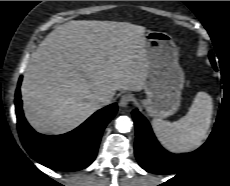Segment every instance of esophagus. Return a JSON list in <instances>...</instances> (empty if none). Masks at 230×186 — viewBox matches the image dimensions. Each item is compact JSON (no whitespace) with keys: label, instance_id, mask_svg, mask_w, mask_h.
Masks as SVG:
<instances>
[{"label":"esophagus","instance_id":"esophagus-1","mask_svg":"<svg viewBox=\"0 0 230 186\" xmlns=\"http://www.w3.org/2000/svg\"><path fill=\"white\" fill-rule=\"evenodd\" d=\"M131 100H132V97L130 95L124 94L120 98L119 105L121 107H126L130 103Z\"/></svg>","mask_w":230,"mask_h":186}]
</instances>
